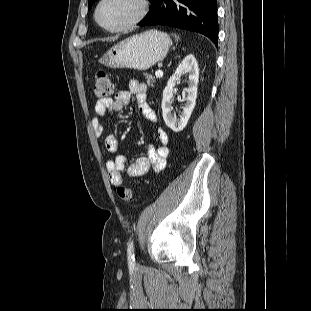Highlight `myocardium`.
<instances>
[{
  "instance_id": "f54148a6",
  "label": "myocardium",
  "mask_w": 311,
  "mask_h": 311,
  "mask_svg": "<svg viewBox=\"0 0 311 311\" xmlns=\"http://www.w3.org/2000/svg\"><path fill=\"white\" fill-rule=\"evenodd\" d=\"M106 0H100L95 8L94 17L98 25L103 28L104 30L112 33H118V32H125L128 30H131L136 25H138L146 16L147 10H148V4L147 0H133V2L136 4V12L133 15V17L128 20L126 23L117 26V27H109L105 25L99 18V12L102 4Z\"/></svg>"
}]
</instances>
